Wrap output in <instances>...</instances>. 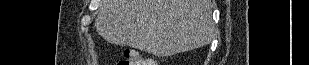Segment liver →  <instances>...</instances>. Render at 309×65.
I'll list each match as a JSON object with an SVG mask.
<instances>
[{
	"instance_id": "1",
	"label": "liver",
	"mask_w": 309,
	"mask_h": 65,
	"mask_svg": "<svg viewBox=\"0 0 309 65\" xmlns=\"http://www.w3.org/2000/svg\"><path fill=\"white\" fill-rule=\"evenodd\" d=\"M108 43L156 56H171L209 44L210 0H101L95 19Z\"/></svg>"
}]
</instances>
